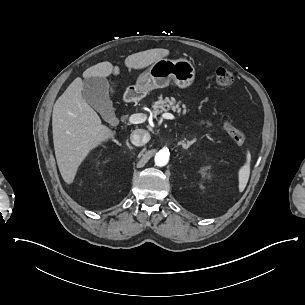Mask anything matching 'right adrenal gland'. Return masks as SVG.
<instances>
[{
  "label": "right adrenal gland",
  "mask_w": 305,
  "mask_h": 305,
  "mask_svg": "<svg viewBox=\"0 0 305 305\" xmlns=\"http://www.w3.org/2000/svg\"><path fill=\"white\" fill-rule=\"evenodd\" d=\"M126 144H127V146H128L130 149L132 148L128 142H126Z\"/></svg>",
  "instance_id": "obj_1"
}]
</instances>
